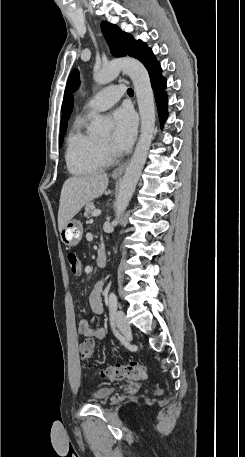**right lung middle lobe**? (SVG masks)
I'll return each instance as SVG.
<instances>
[{
    "label": "right lung middle lobe",
    "mask_w": 245,
    "mask_h": 457,
    "mask_svg": "<svg viewBox=\"0 0 245 457\" xmlns=\"http://www.w3.org/2000/svg\"><path fill=\"white\" fill-rule=\"evenodd\" d=\"M67 128L60 129V138H59V147H61L63 142V135L65 134Z\"/></svg>",
    "instance_id": "right-lung-middle-lobe-1"
}]
</instances>
